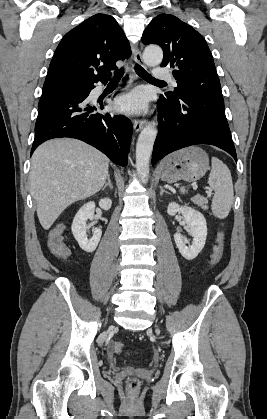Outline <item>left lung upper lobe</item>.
I'll return each mask as SVG.
<instances>
[{"mask_svg": "<svg viewBox=\"0 0 267 419\" xmlns=\"http://www.w3.org/2000/svg\"><path fill=\"white\" fill-rule=\"evenodd\" d=\"M142 41L163 49L161 67L173 68L177 87L160 95L170 101L203 91L221 92L212 54L204 37L179 18L160 14L145 29Z\"/></svg>", "mask_w": 267, "mask_h": 419, "instance_id": "left-lung-upper-lobe-1", "label": "left lung upper lobe"}]
</instances>
